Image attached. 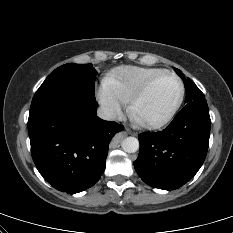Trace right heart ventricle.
I'll return each mask as SVG.
<instances>
[{
    "label": "right heart ventricle",
    "instance_id": "1",
    "mask_svg": "<svg viewBox=\"0 0 233 233\" xmlns=\"http://www.w3.org/2000/svg\"><path fill=\"white\" fill-rule=\"evenodd\" d=\"M162 71L156 67L122 66L104 78L103 86L120 102L128 103L147 80Z\"/></svg>",
    "mask_w": 233,
    "mask_h": 233
}]
</instances>
